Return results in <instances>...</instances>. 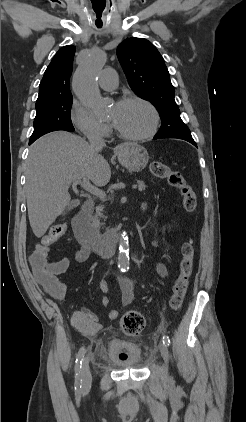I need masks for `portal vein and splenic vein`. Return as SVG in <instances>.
I'll return each mask as SVG.
<instances>
[{
	"label": "portal vein and splenic vein",
	"mask_w": 246,
	"mask_h": 422,
	"mask_svg": "<svg viewBox=\"0 0 246 422\" xmlns=\"http://www.w3.org/2000/svg\"><path fill=\"white\" fill-rule=\"evenodd\" d=\"M74 184H79L83 189L88 191L89 193L99 197L105 198L106 194L102 190L98 189L97 187L93 186L87 178H83L82 180L76 181ZM139 187V186H138ZM133 189L137 188V185L132 186ZM141 189V188H140ZM141 191V190H140Z\"/></svg>",
	"instance_id": "18ae733b"
}]
</instances>
